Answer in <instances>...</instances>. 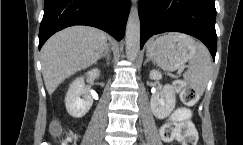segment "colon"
<instances>
[{
    "label": "colon",
    "instance_id": "5ec220e1",
    "mask_svg": "<svg viewBox=\"0 0 243 145\" xmlns=\"http://www.w3.org/2000/svg\"><path fill=\"white\" fill-rule=\"evenodd\" d=\"M174 89L180 94L184 106L191 107L196 103L198 97L196 90L183 80H176ZM189 117L190 112L188 109L180 108L176 110L173 117L162 124L160 128L161 138L166 142L178 140L182 145H196L198 134ZM50 132L54 136L60 135L61 126L57 121L52 122L50 125Z\"/></svg>",
    "mask_w": 243,
    "mask_h": 145
}]
</instances>
